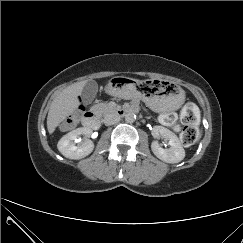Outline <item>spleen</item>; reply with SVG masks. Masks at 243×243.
Returning <instances> with one entry per match:
<instances>
[{
  "label": "spleen",
  "instance_id": "spleen-1",
  "mask_svg": "<svg viewBox=\"0 0 243 243\" xmlns=\"http://www.w3.org/2000/svg\"><path fill=\"white\" fill-rule=\"evenodd\" d=\"M200 138V134L198 135V139Z\"/></svg>",
  "mask_w": 243,
  "mask_h": 243
}]
</instances>
